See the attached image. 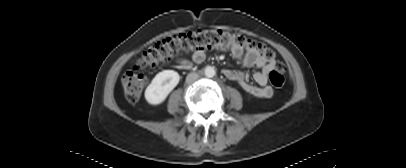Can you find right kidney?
I'll use <instances>...</instances> for the list:
<instances>
[{
    "mask_svg": "<svg viewBox=\"0 0 406 168\" xmlns=\"http://www.w3.org/2000/svg\"><path fill=\"white\" fill-rule=\"evenodd\" d=\"M180 76L174 70L159 72L145 90V98L151 105L161 104L179 83Z\"/></svg>",
    "mask_w": 406,
    "mask_h": 168,
    "instance_id": "1",
    "label": "right kidney"
}]
</instances>
